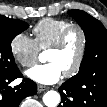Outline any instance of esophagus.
Here are the masks:
<instances>
[{"label": "esophagus", "mask_w": 107, "mask_h": 107, "mask_svg": "<svg viewBox=\"0 0 107 107\" xmlns=\"http://www.w3.org/2000/svg\"><path fill=\"white\" fill-rule=\"evenodd\" d=\"M45 90H48V87H47V86L38 85V87H37L38 93H41V92H43V91H45Z\"/></svg>", "instance_id": "34e87169"}]
</instances>
